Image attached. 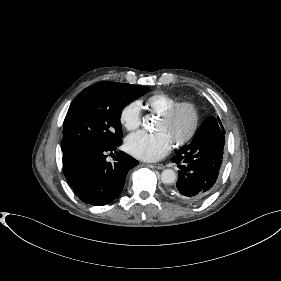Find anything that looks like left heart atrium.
Returning a JSON list of instances; mask_svg holds the SVG:
<instances>
[{
    "label": "left heart atrium",
    "instance_id": "left-heart-atrium-1",
    "mask_svg": "<svg viewBox=\"0 0 281 281\" xmlns=\"http://www.w3.org/2000/svg\"><path fill=\"white\" fill-rule=\"evenodd\" d=\"M172 142L164 132L146 133L143 131L130 135L126 140V149L134 157L144 161H157L166 156Z\"/></svg>",
    "mask_w": 281,
    "mask_h": 281
}]
</instances>
